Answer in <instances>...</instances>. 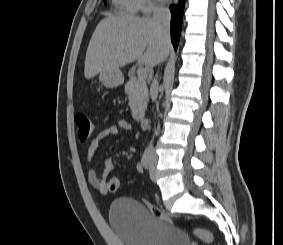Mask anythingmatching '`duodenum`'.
I'll return each instance as SVG.
<instances>
[{
  "label": "duodenum",
  "instance_id": "1",
  "mask_svg": "<svg viewBox=\"0 0 283 245\" xmlns=\"http://www.w3.org/2000/svg\"><path fill=\"white\" fill-rule=\"evenodd\" d=\"M138 122L142 129H147L149 127V119L147 117H140Z\"/></svg>",
  "mask_w": 283,
  "mask_h": 245
}]
</instances>
